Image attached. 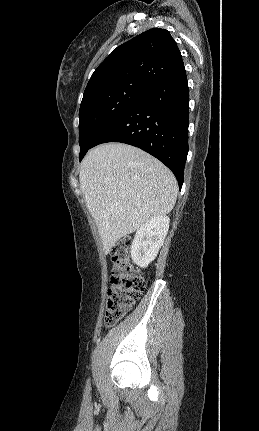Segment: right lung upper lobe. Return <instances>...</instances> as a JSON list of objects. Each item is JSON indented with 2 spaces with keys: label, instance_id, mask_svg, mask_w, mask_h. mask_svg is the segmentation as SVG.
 <instances>
[{
  "label": "right lung upper lobe",
  "instance_id": "right-lung-upper-lobe-1",
  "mask_svg": "<svg viewBox=\"0 0 259 431\" xmlns=\"http://www.w3.org/2000/svg\"><path fill=\"white\" fill-rule=\"evenodd\" d=\"M184 71L181 53L170 33L153 28L112 51L92 74L83 100L125 84L137 83L149 89Z\"/></svg>",
  "mask_w": 259,
  "mask_h": 431
}]
</instances>
